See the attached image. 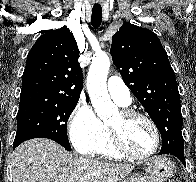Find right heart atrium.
Instances as JSON below:
<instances>
[{
	"instance_id": "1",
	"label": "right heart atrium",
	"mask_w": 196,
	"mask_h": 182,
	"mask_svg": "<svg viewBox=\"0 0 196 182\" xmlns=\"http://www.w3.org/2000/svg\"><path fill=\"white\" fill-rule=\"evenodd\" d=\"M70 140L82 154H93L101 146L106 133L104 124L92 107L80 101L71 114L68 124Z\"/></svg>"
}]
</instances>
